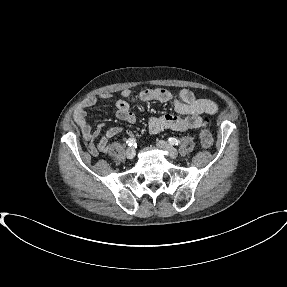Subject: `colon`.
<instances>
[{"mask_svg": "<svg viewBox=\"0 0 287 287\" xmlns=\"http://www.w3.org/2000/svg\"><path fill=\"white\" fill-rule=\"evenodd\" d=\"M203 120L205 124L209 123L208 117H204ZM200 142L204 148H210L213 145V136L208 129L205 128L200 132Z\"/></svg>", "mask_w": 287, "mask_h": 287, "instance_id": "colon-1", "label": "colon"}]
</instances>
